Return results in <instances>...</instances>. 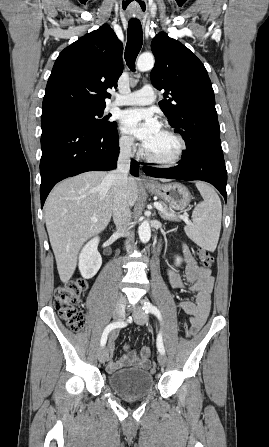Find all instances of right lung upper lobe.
Returning <instances> with one entry per match:
<instances>
[{
    "mask_svg": "<svg viewBox=\"0 0 269 447\" xmlns=\"http://www.w3.org/2000/svg\"><path fill=\"white\" fill-rule=\"evenodd\" d=\"M123 44L110 26L86 34L58 56L47 82L43 113L75 105H103L123 71Z\"/></svg>",
    "mask_w": 269,
    "mask_h": 447,
    "instance_id": "obj_1",
    "label": "right lung upper lobe"
}]
</instances>
